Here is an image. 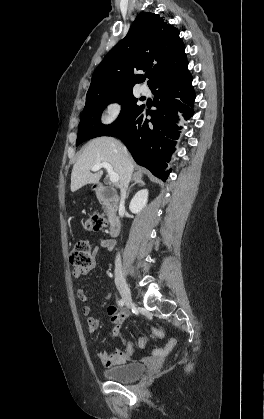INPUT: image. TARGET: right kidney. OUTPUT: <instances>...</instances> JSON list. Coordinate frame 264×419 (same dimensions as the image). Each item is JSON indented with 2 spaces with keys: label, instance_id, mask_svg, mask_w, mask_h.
<instances>
[{
  "label": "right kidney",
  "instance_id": "ca27d5eb",
  "mask_svg": "<svg viewBox=\"0 0 264 419\" xmlns=\"http://www.w3.org/2000/svg\"><path fill=\"white\" fill-rule=\"evenodd\" d=\"M148 201V190L143 189L138 191L132 198L129 209L132 213L138 214L146 206Z\"/></svg>",
  "mask_w": 264,
  "mask_h": 419
}]
</instances>
